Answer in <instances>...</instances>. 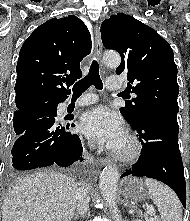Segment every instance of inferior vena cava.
<instances>
[{
  "mask_svg": "<svg viewBox=\"0 0 190 221\" xmlns=\"http://www.w3.org/2000/svg\"><path fill=\"white\" fill-rule=\"evenodd\" d=\"M77 200V213L84 216L89 208L90 198L86 189L79 187L75 194Z\"/></svg>",
  "mask_w": 190,
  "mask_h": 221,
  "instance_id": "obj_1",
  "label": "inferior vena cava"
}]
</instances>
